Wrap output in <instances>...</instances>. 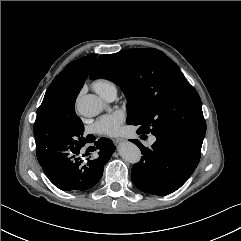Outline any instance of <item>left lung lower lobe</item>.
Masks as SVG:
<instances>
[{"mask_svg": "<svg viewBox=\"0 0 241 241\" xmlns=\"http://www.w3.org/2000/svg\"><path fill=\"white\" fill-rule=\"evenodd\" d=\"M154 136L156 142L150 149L138 140H130L143 155L133 166L131 178L145 193L167 195L180 188L196 169L203 139L174 131H163Z\"/></svg>", "mask_w": 241, "mask_h": 241, "instance_id": "1", "label": "left lung lower lobe"}]
</instances>
